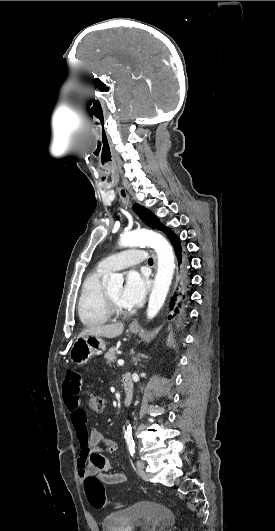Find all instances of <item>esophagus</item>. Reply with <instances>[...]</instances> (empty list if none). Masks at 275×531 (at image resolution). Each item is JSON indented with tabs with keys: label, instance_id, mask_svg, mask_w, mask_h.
Masks as SVG:
<instances>
[{
	"label": "esophagus",
	"instance_id": "1",
	"mask_svg": "<svg viewBox=\"0 0 275 531\" xmlns=\"http://www.w3.org/2000/svg\"><path fill=\"white\" fill-rule=\"evenodd\" d=\"M118 191H119V196L121 198L123 205L126 208H129L130 205H129V197H128L127 191L124 188H119ZM129 326L131 328H137L138 324L136 321H133L132 323H130Z\"/></svg>",
	"mask_w": 275,
	"mask_h": 531
}]
</instances>
